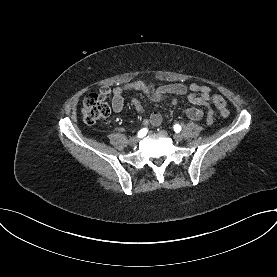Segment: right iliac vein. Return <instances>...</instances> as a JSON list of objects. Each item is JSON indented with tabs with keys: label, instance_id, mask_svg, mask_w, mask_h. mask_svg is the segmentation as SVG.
<instances>
[{
	"label": "right iliac vein",
	"instance_id": "63e3f726",
	"mask_svg": "<svg viewBox=\"0 0 277 277\" xmlns=\"http://www.w3.org/2000/svg\"><path fill=\"white\" fill-rule=\"evenodd\" d=\"M139 140H140L139 137H132L129 139V144L131 146H135L139 142Z\"/></svg>",
	"mask_w": 277,
	"mask_h": 277
}]
</instances>
